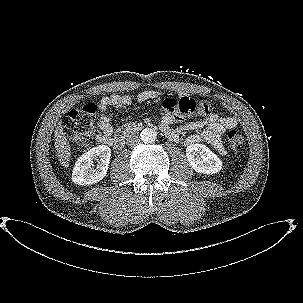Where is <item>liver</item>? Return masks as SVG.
<instances>
[{
	"label": "liver",
	"instance_id": "1",
	"mask_svg": "<svg viewBox=\"0 0 303 303\" xmlns=\"http://www.w3.org/2000/svg\"><path fill=\"white\" fill-rule=\"evenodd\" d=\"M54 145L56 149V156L60 164L67 168L71 159V148L63 131L62 121L57 123L54 131Z\"/></svg>",
	"mask_w": 303,
	"mask_h": 303
}]
</instances>
